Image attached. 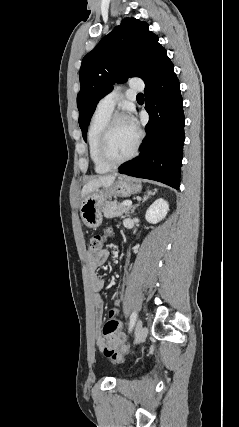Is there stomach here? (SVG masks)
<instances>
[{"instance_id":"obj_1","label":"stomach","mask_w":239,"mask_h":427,"mask_svg":"<svg viewBox=\"0 0 239 427\" xmlns=\"http://www.w3.org/2000/svg\"><path fill=\"white\" fill-rule=\"evenodd\" d=\"M141 185L133 178L121 177L112 186L104 190H95L88 194L80 205V215L89 228H97L102 223V208L112 196L128 197L141 191Z\"/></svg>"}]
</instances>
